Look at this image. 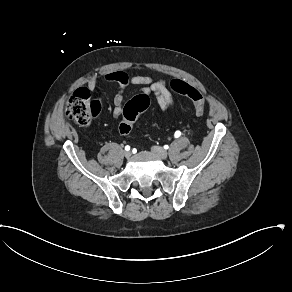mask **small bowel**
Instances as JSON below:
<instances>
[{
  "label": "small bowel",
  "mask_w": 292,
  "mask_h": 292,
  "mask_svg": "<svg viewBox=\"0 0 292 292\" xmlns=\"http://www.w3.org/2000/svg\"><path fill=\"white\" fill-rule=\"evenodd\" d=\"M104 80L116 83L120 86L119 91L113 99V117L118 119L122 113L125 94L130 85L141 87V92L145 95L155 94L156 102L162 114H166L174 108V100L171 92L167 89L166 80L155 79L147 75H128L123 71H109L103 76ZM98 77L90 78L87 83L89 90H94L98 85Z\"/></svg>",
  "instance_id": "small-bowel-1"
}]
</instances>
